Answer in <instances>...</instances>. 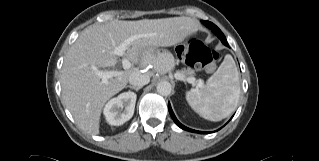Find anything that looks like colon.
<instances>
[{
    "mask_svg": "<svg viewBox=\"0 0 319 161\" xmlns=\"http://www.w3.org/2000/svg\"><path fill=\"white\" fill-rule=\"evenodd\" d=\"M178 58L189 68L212 69L219 58L215 50L208 49L199 39L192 38L177 47Z\"/></svg>",
    "mask_w": 319,
    "mask_h": 161,
    "instance_id": "obj_1",
    "label": "colon"
}]
</instances>
